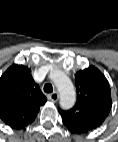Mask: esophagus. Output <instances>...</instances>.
I'll list each match as a JSON object with an SVG mask.
<instances>
[{
  "instance_id": "34e87169",
  "label": "esophagus",
  "mask_w": 118,
  "mask_h": 142,
  "mask_svg": "<svg viewBox=\"0 0 118 142\" xmlns=\"http://www.w3.org/2000/svg\"><path fill=\"white\" fill-rule=\"evenodd\" d=\"M48 99L51 100L52 102H57L59 99L58 92H53L50 95H48Z\"/></svg>"
}]
</instances>
